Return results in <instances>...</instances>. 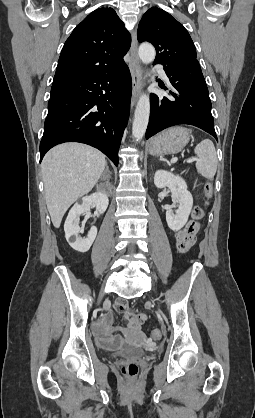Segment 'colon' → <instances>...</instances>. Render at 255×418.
I'll list each match as a JSON object with an SVG mask.
<instances>
[{
    "label": "colon",
    "instance_id": "1",
    "mask_svg": "<svg viewBox=\"0 0 255 418\" xmlns=\"http://www.w3.org/2000/svg\"><path fill=\"white\" fill-rule=\"evenodd\" d=\"M204 193H205V197H206V202H208L212 198V195H213V183H212V181H208L205 184ZM202 217H203V210L200 207H195L192 211L191 220L187 223L185 228H198V229H200V220L202 219ZM177 242H179L178 236H177ZM178 249H179V247H178ZM160 336H161V333L158 330H154L151 333V337L153 339H159ZM121 371L127 377H130V378L136 377L138 372H139L138 363L135 362V361L124 362L121 365Z\"/></svg>",
    "mask_w": 255,
    "mask_h": 418
}]
</instances>
